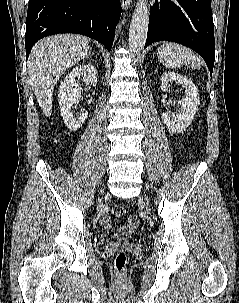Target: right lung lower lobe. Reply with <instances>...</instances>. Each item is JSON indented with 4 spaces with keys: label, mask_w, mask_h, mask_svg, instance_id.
Returning a JSON list of instances; mask_svg holds the SVG:
<instances>
[{
    "label": "right lung lower lobe",
    "mask_w": 239,
    "mask_h": 303,
    "mask_svg": "<svg viewBox=\"0 0 239 303\" xmlns=\"http://www.w3.org/2000/svg\"><path fill=\"white\" fill-rule=\"evenodd\" d=\"M120 14V0H30L25 33L26 59L39 39L58 33L86 35L110 51Z\"/></svg>",
    "instance_id": "right-lung-lower-lobe-1"
}]
</instances>
